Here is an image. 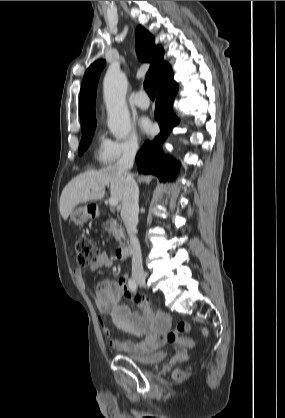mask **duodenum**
<instances>
[{
	"instance_id": "410a0bca",
	"label": "duodenum",
	"mask_w": 285,
	"mask_h": 418,
	"mask_svg": "<svg viewBox=\"0 0 285 418\" xmlns=\"http://www.w3.org/2000/svg\"><path fill=\"white\" fill-rule=\"evenodd\" d=\"M131 253V248L128 243L121 245L116 250V256L120 260H126L129 258Z\"/></svg>"
}]
</instances>
